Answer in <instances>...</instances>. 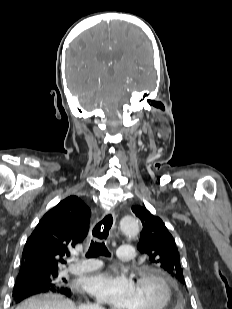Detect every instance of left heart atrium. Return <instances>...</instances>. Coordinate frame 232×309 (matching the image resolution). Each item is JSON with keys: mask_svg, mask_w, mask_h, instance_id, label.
I'll list each match as a JSON object with an SVG mask.
<instances>
[{"mask_svg": "<svg viewBox=\"0 0 232 309\" xmlns=\"http://www.w3.org/2000/svg\"><path fill=\"white\" fill-rule=\"evenodd\" d=\"M85 288L90 295L116 309H130L134 300L135 283L114 270L89 277Z\"/></svg>", "mask_w": 232, "mask_h": 309, "instance_id": "1", "label": "left heart atrium"}]
</instances>
